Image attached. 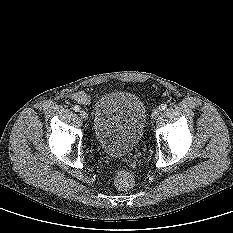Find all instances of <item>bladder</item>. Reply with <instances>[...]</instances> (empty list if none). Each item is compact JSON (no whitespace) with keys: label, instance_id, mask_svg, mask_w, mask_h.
Returning a JSON list of instances; mask_svg holds the SVG:
<instances>
[{"label":"bladder","instance_id":"bladder-1","mask_svg":"<svg viewBox=\"0 0 233 233\" xmlns=\"http://www.w3.org/2000/svg\"><path fill=\"white\" fill-rule=\"evenodd\" d=\"M146 123V109L133 93H106L95 105L93 130L97 143L110 156L122 157L138 145Z\"/></svg>","mask_w":233,"mask_h":233}]
</instances>
